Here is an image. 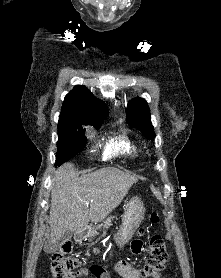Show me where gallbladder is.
Segmentation results:
<instances>
[{"mask_svg": "<svg viewBox=\"0 0 221 278\" xmlns=\"http://www.w3.org/2000/svg\"><path fill=\"white\" fill-rule=\"evenodd\" d=\"M73 232L67 231L64 236L52 246V249L57 250L63 243L69 241L72 238Z\"/></svg>", "mask_w": 221, "mask_h": 278, "instance_id": "1", "label": "gallbladder"}]
</instances>
